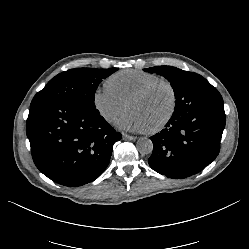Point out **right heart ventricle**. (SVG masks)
Returning a JSON list of instances; mask_svg holds the SVG:
<instances>
[{"label":"right heart ventricle","instance_id":"1","mask_svg":"<svg viewBox=\"0 0 249 249\" xmlns=\"http://www.w3.org/2000/svg\"><path fill=\"white\" fill-rule=\"evenodd\" d=\"M161 79L155 73L137 69H127L115 72L106 81V87L120 97L125 103L146 84Z\"/></svg>","mask_w":249,"mask_h":249}]
</instances>
